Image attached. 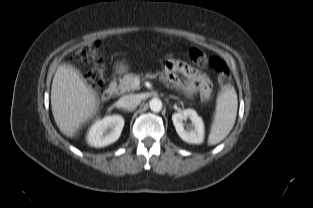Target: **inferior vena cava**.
Segmentation results:
<instances>
[{
  "label": "inferior vena cava",
  "mask_w": 313,
  "mask_h": 208,
  "mask_svg": "<svg viewBox=\"0 0 313 208\" xmlns=\"http://www.w3.org/2000/svg\"><path fill=\"white\" fill-rule=\"evenodd\" d=\"M119 106L125 110H132L138 106L140 99L135 94H128L119 99Z\"/></svg>",
  "instance_id": "602c4592"
}]
</instances>
